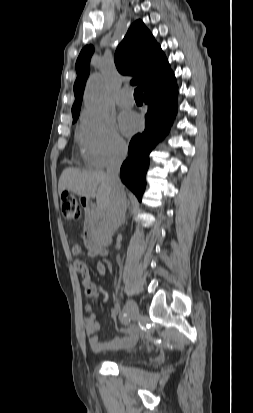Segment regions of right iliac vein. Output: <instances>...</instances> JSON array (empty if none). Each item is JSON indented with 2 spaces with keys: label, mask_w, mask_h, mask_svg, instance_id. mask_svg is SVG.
Here are the masks:
<instances>
[{
  "label": "right iliac vein",
  "mask_w": 253,
  "mask_h": 413,
  "mask_svg": "<svg viewBox=\"0 0 253 413\" xmlns=\"http://www.w3.org/2000/svg\"><path fill=\"white\" fill-rule=\"evenodd\" d=\"M126 311L128 313V316L132 320L138 319V317H139V308H138L135 301H133V300H127L126 301Z\"/></svg>",
  "instance_id": "obj_1"
}]
</instances>
